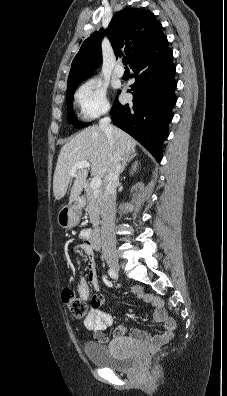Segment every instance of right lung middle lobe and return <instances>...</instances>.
Returning a JSON list of instances; mask_svg holds the SVG:
<instances>
[{
  "label": "right lung middle lobe",
  "instance_id": "dd1d6c3e",
  "mask_svg": "<svg viewBox=\"0 0 227 396\" xmlns=\"http://www.w3.org/2000/svg\"><path fill=\"white\" fill-rule=\"evenodd\" d=\"M76 88H77V85H75L71 89L67 90V108H68L67 117H68V122L70 124H72L75 128H80L83 126H87L89 123L85 124V123L79 122L73 112L72 102H73V96H74Z\"/></svg>",
  "mask_w": 227,
  "mask_h": 396
}]
</instances>
